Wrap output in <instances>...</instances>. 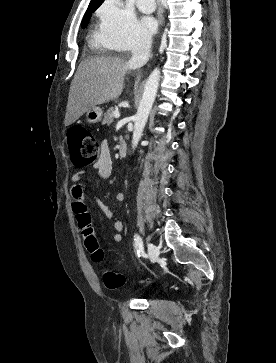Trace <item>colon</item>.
Listing matches in <instances>:
<instances>
[{
  "mask_svg": "<svg viewBox=\"0 0 276 363\" xmlns=\"http://www.w3.org/2000/svg\"><path fill=\"white\" fill-rule=\"evenodd\" d=\"M67 142L72 161L77 167H86L98 160L99 144L94 135L86 128H71L67 133ZM79 219L80 227L86 228L89 225V218L86 214L80 216ZM84 243L94 262L104 261L105 253L94 234L89 233ZM125 281L124 275L113 269L106 270L103 274L104 285L111 290L121 288Z\"/></svg>",
  "mask_w": 276,
  "mask_h": 363,
  "instance_id": "1",
  "label": "colon"
}]
</instances>
